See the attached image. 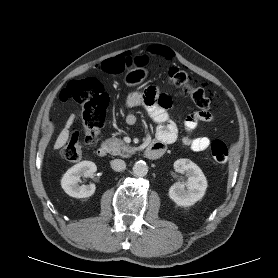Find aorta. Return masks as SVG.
I'll use <instances>...</instances> for the list:
<instances>
[{
	"label": "aorta",
	"mask_w": 278,
	"mask_h": 278,
	"mask_svg": "<svg viewBox=\"0 0 278 278\" xmlns=\"http://www.w3.org/2000/svg\"><path fill=\"white\" fill-rule=\"evenodd\" d=\"M133 172L138 177H144L148 173V166L145 161H137L133 166Z\"/></svg>",
	"instance_id": "aorta-1"
}]
</instances>
